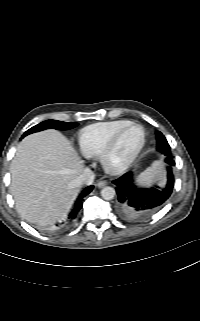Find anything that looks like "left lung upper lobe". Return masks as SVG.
I'll return each mask as SVG.
<instances>
[{
	"mask_svg": "<svg viewBox=\"0 0 200 321\" xmlns=\"http://www.w3.org/2000/svg\"><path fill=\"white\" fill-rule=\"evenodd\" d=\"M156 137H157V150L162 154H165L166 150L170 149V146L166 138L159 131L156 132Z\"/></svg>",
	"mask_w": 200,
	"mask_h": 321,
	"instance_id": "1",
	"label": "left lung upper lobe"
}]
</instances>
